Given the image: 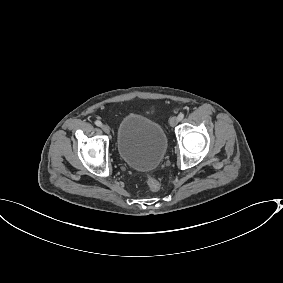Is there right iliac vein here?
Returning <instances> with one entry per match:
<instances>
[{"mask_svg": "<svg viewBox=\"0 0 283 283\" xmlns=\"http://www.w3.org/2000/svg\"><path fill=\"white\" fill-rule=\"evenodd\" d=\"M102 130L105 132V133H109L110 132V128L108 125H102L101 126Z\"/></svg>", "mask_w": 283, "mask_h": 283, "instance_id": "right-iliac-vein-1", "label": "right iliac vein"}]
</instances>
